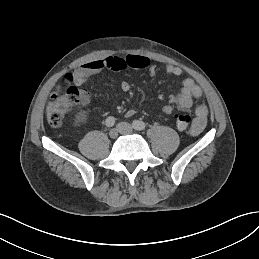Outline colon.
Here are the masks:
<instances>
[{
    "label": "colon",
    "mask_w": 259,
    "mask_h": 259,
    "mask_svg": "<svg viewBox=\"0 0 259 259\" xmlns=\"http://www.w3.org/2000/svg\"><path fill=\"white\" fill-rule=\"evenodd\" d=\"M88 98L87 91L75 86L71 75L68 74L50 97L46 110L48 124L54 128L59 127L66 114L75 106L87 103ZM173 118L179 130H187L191 126V118L185 113H175Z\"/></svg>",
    "instance_id": "5ec220e1"
}]
</instances>
